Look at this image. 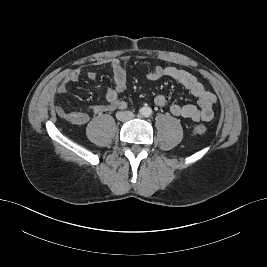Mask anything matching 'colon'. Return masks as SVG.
Listing matches in <instances>:
<instances>
[{"label": "colon", "instance_id": "colon-1", "mask_svg": "<svg viewBox=\"0 0 267 267\" xmlns=\"http://www.w3.org/2000/svg\"><path fill=\"white\" fill-rule=\"evenodd\" d=\"M206 127L203 125H197L194 127L195 134L202 135L206 132Z\"/></svg>", "mask_w": 267, "mask_h": 267}]
</instances>
